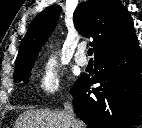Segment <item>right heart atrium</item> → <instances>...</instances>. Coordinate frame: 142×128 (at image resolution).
Returning a JSON list of instances; mask_svg holds the SVG:
<instances>
[{
	"label": "right heart atrium",
	"mask_w": 142,
	"mask_h": 128,
	"mask_svg": "<svg viewBox=\"0 0 142 128\" xmlns=\"http://www.w3.org/2000/svg\"><path fill=\"white\" fill-rule=\"evenodd\" d=\"M38 93L45 98L59 94L62 90V70L57 60L48 55L43 58L35 72Z\"/></svg>",
	"instance_id": "obj_1"
}]
</instances>
